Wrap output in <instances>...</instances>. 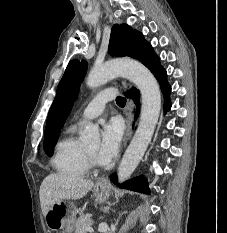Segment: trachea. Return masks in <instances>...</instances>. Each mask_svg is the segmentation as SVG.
<instances>
[{
	"label": "trachea",
	"mask_w": 227,
	"mask_h": 233,
	"mask_svg": "<svg viewBox=\"0 0 227 233\" xmlns=\"http://www.w3.org/2000/svg\"><path fill=\"white\" fill-rule=\"evenodd\" d=\"M116 103H117V105H119V106H125V104H126V99L123 98V97H121V96H118V97L116 98Z\"/></svg>",
	"instance_id": "trachea-1"
}]
</instances>
